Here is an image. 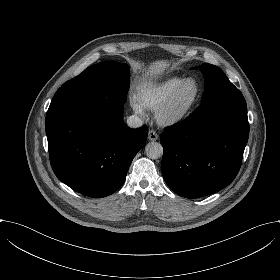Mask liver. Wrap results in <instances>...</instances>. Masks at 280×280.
<instances>
[{"instance_id":"1","label":"liver","mask_w":280,"mask_h":280,"mask_svg":"<svg viewBox=\"0 0 280 280\" xmlns=\"http://www.w3.org/2000/svg\"><path fill=\"white\" fill-rule=\"evenodd\" d=\"M170 61L167 59H159L151 61L141 71V79H158L161 78L169 69Z\"/></svg>"}]
</instances>
